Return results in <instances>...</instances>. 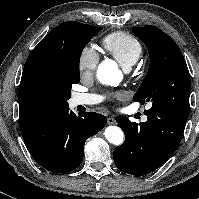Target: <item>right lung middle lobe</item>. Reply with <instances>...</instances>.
<instances>
[{
  "label": "right lung middle lobe",
  "mask_w": 199,
  "mask_h": 199,
  "mask_svg": "<svg viewBox=\"0 0 199 199\" xmlns=\"http://www.w3.org/2000/svg\"><path fill=\"white\" fill-rule=\"evenodd\" d=\"M101 30L102 27L75 21L55 27L42 57L31 71V93L42 101L68 107L72 85L80 82L82 50Z\"/></svg>",
  "instance_id": "dd1d6c3e"
}]
</instances>
